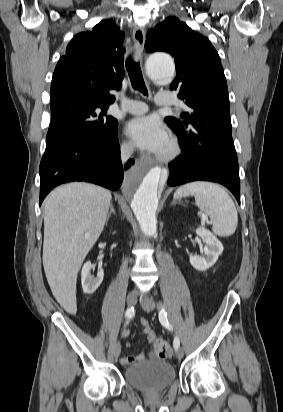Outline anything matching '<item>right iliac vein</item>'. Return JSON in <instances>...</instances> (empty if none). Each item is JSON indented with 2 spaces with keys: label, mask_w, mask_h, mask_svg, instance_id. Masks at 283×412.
I'll list each match as a JSON object with an SVG mask.
<instances>
[{
  "label": "right iliac vein",
  "mask_w": 283,
  "mask_h": 412,
  "mask_svg": "<svg viewBox=\"0 0 283 412\" xmlns=\"http://www.w3.org/2000/svg\"><path fill=\"white\" fill-rule=\"evenodd\" d=\"M137 290L133 289L127 296V304L133 306L136 302ZM121 352V344L119 341L115 342L113 345V355L115 358H118Z\"/></svg>",
  "instance_id": "right-iliac-vein-1"
}]
</instances>
